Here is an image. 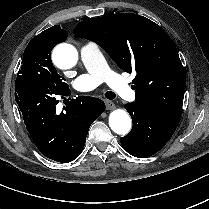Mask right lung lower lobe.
<instances>
[{"label": "right lung lower lobe", "instance_id": "98d812e1", "mask_svg": "<svg viewBox=\"0 0 209 209\" xmlns=\"http://www.w3.org/2000/svg\"><path fill=\"white\" fill-rule=\"evenodd\" d=\"M15 100L24 123L39 151L49 159L68 163L82 152L90 125L104 112L105 103L94 97L72 99L56 113V92L26 79L15 82Z\"/></svg>", "mask_w": 209, "mask_h": 209}]
</instances>
